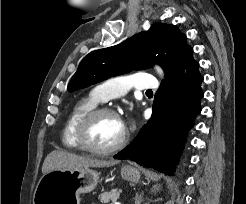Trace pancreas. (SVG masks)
I'll use <instances>...</instances> for the list:
<instances>
[{
    "instance_id": "obj_1",
    "label": "pancreas",
    "mask_w": 246,
    "mask_h": 204,
    "mask_svg": "<svg viewBox=\"0 0 246 204\" xmlns=\"http://www.w3.org/2000/svg\"><path fill=\"white\" fill-rule=\"evenodd\" d=\"M119 195H120V191L113 190L109 192H104L98 196V200L101 203L107 204L110 201H116L119 198Z\"/></svg>"
}]
</instances>
